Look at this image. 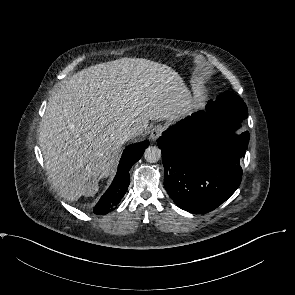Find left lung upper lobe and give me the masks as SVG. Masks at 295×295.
<instances>
[{
  "instance_id": "obj_1",
  "label": "left lung upper lobe",
  "mask_w": 295,
  "mask_h": 295,
  "mask_svg": "<svg viewBox=\"0 0 295 295\" xmlns=\"http://www.w3.org/2000/svg\"><path fill=\"white\" fill-rule=\"evenodd\" d=\"M212 107L219 113L240 117L246 119L248 116L247 106L238 95L227 92L218 96L217 100L212 102Z\"/></svg>"
}]
</instances>
